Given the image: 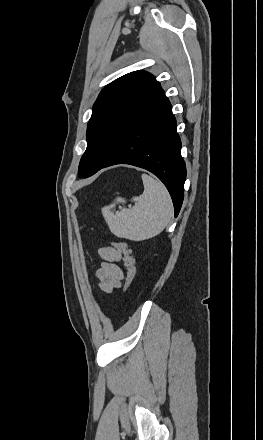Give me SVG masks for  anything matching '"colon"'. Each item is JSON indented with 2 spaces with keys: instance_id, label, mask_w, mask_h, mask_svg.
<instances>
[{
  "instance_id": "obj_1",
  "label": "colon",
  "mask_w": 263,
  "mask_h": 440,
  "mask_svg": "<svg viewBox=\"0 0 263 440\" xmlns=\"http://www.w3.org/2000/svg\"><path fill=\"white\" fill-rule=\"evenodd\" d=\"M112 246L122 255L124 266L127 269V287H130L137 273V267L131 254V249L125 241H115L112 243Z\"/></svg>"
}]
</instances>
